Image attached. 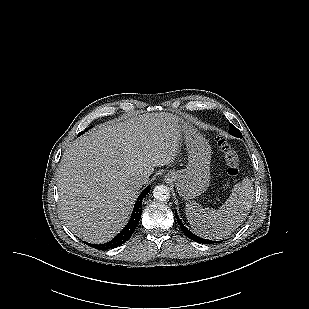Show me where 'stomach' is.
<instances>
[{"mask_svg":"<svg viewBox=\"0 0 309 309\" xmlns=\"http://www.w3.org/2000/svg\"><path fill=\"white\" fill-rule=\"evenodd\" d=\"M171 117L178 121L174 115ZM188 152L186 168L169 171L165 178L173 182L180 196L192 200L210 184L211 147L204 136L187 123L181 125Z\"/></svg>","mask_w":309,"mask_h":309,"instance_id":"1","label":"stomach"}]
</instances>
